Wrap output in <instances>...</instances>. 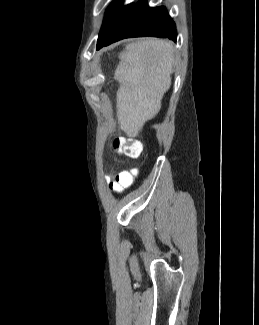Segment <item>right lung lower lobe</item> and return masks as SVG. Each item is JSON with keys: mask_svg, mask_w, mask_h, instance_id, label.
<instances>
[{"mask_svg": "<svg viewBox=\"0 0 259 325\" xmlns=\"http://www.w3.org/2000/svg\"><path fill=\"white\" fill-rule=\"evenodd\" d=\"M154 36L177 39L176 26L164 6L150 8L146 0L132 4L111 35L97 49L128 37Z\"/></svg>", "mask_w": 259, "mask_h": 325, "instance_id": "obj_1", "label": "right lung lower lobe"}]
</instances>
